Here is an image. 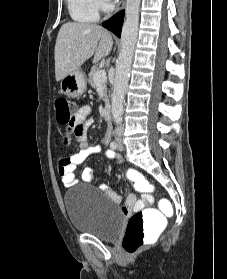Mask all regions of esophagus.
Wrapping results in <instances>:
<instances>
[{"label": "esophagus", "mask_w": 227, "mask_h": 279, "mask_svg": "<svg viewBox=\"0 0 227 279\" xmlns=\"http://www.w3.org/2000/svg\"><path fill=\"white\" fill-rule=\"evenodd\" d=\"M125 3H126V0H120V2L117 5V9H116L115 13H119L123 9Z\"/></svg>", "instance_id": "1"}]
</instances>
